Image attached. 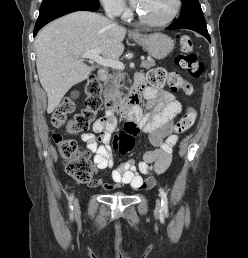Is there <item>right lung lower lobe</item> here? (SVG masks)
<instances>
[{"label": "right lung lower lobe", "instance_id": "98d812e1", "mask_svg": "<svg viewBox=\"0 0 248 258\" xmlns=\"http://www.w3.org/2000/svg\"><path fill=\"white\" fill-rule=\"evenodd\" d=\"M99 7H100V3L98 1L85 0V1H79V2L70 3L66 5L56 6L51 9L40 12L38 20L35 24L34 36L45 24L49 23L50 21L58 17H61L65 14H68L74 11H80V10L96 11L99 9Z\"/></svg>", "mask_w": 248, "mask_h": 258}]
</instances>
